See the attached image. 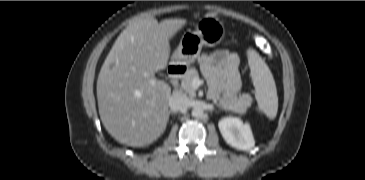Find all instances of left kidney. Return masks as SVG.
Returning a JSON list of instances; mask_svg holds the SVG:
<instances>
[{
    "label": "left kidney",
    "instance_id": "obj_1",
    "mask_svg": "<svg viewBox=\"0 0 365 180\" xmlns=\"http://www.w3.org/2000/svg\"><path fill=\"white\" fill-rule=\"evenodd\" d=\"M218 127L224 140L238 150H250L255 144L250 125L239 118L225 117Z\"/></svg>",
    "mask_w": 365,
    "mask_h": 180
}]
</instances>
